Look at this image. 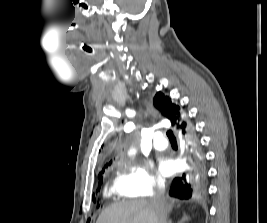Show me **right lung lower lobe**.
Here are the masks:
<instances>
[{
  "instance_id": "right-lung-lower-lobe-1",
  "label": "right lung lower lobe",
  "mask_w": 267,
  "mask_h": 223,
  "mask_svg": "<svg viewBox=\"0 0 267 223\" xmlns=\"http://www.w3.org/2000/svg\"><path fill=\"white\" fill-rule=\"evenodd\" d=\"M182 135L186 142L192 144L188 149L191 157L189 158L188 169L172 181L170 195L180 199H189L205 179V163L194 131L190 125L182 131Z\"/></svg>"
}]
</instances>
